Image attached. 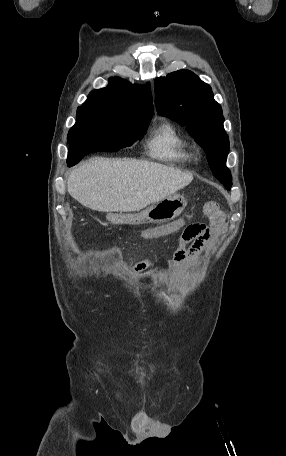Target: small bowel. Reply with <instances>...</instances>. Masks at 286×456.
I'll use <instances>...</instances> for the list:
<instances>
[{"label":"small bowel","mask_w":286,"mask_h":456,"mask_svg":"<svg viewBox=\"0 0 286 456\" xmlns=\"http://www.w3.org/2000/svg\"><path fill=\"white\" fill-rule=\"evenodd\" d=\"M211 228L219 229L225 221V216L220 210L209 212ZM190 218V217H188ZM186 219H178L172 223L145 229L142 236L148 239L164 237L178 232L185 225ZM212 239L211 229L204 224L188 225L179 241V246L173 258L166 263V268L176 265L181 267L185 262L195 265L200 253L210 244ZM150 266L149 260H142L134 266V273L141 274Z\"/></svg>","instance_id":"obj_1"}]
</instances>
